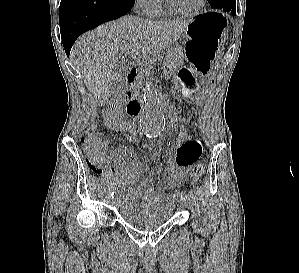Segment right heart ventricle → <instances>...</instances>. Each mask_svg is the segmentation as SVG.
I'll return each instance as SVG.
<instances>
[{
    "instance_id": "right-heart-ventricle-1",
    "label": "right heart ventricle",
    "mask_w": 299,
    "mask_h": 273,
    "mask_svg": "<svg viewBox=\"0 0 299 273\" xmlns=\"http://www.w3.org/2000/svg\"><path fill=\"white\" fill-rule=\"evenodd\" d=\"M168 14V9L161 2L149 12V15L153 17H162Z\"/></svg>"
}]
</instances>
